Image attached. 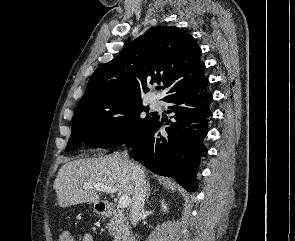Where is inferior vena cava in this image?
Returning <instances> with one entry per match:
<instances>
[{"instance_id":"602c4592","label":"inferior vena cava","mask_w":295,"mask_h":241,"mask_svg":"<svg viewBox=\"0 0 295 241\" xmlns=\"http://www.w3.org/2000/svg\"><path fill=\"white\" fill-rule=\"evenodd\" d=\"M121 157L128 159L127 151L122 152ZM132 180L134 183V193L130 210V220L135 226L144 212V202L146 195V180L144 171L137 165L131 164Z\"/></svg>"}]
</instances>
